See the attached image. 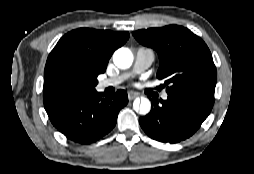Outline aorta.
I'll return each mask as SVG.
<instances>
[{"mask_svg": "<svg viewBox=\"0 0 254 174\" xmlns=\"http://www.w3.org/2000/svg\"><path fill=\"white\" fill-rule=\"evenodd\" d=\"M113 61L118 68L127 69L133 63V54L128 48L122 47L115 51ZM134 109L146 115L151 110V102L148 98L142 97L140 100H135Z\"/></svg>", "mask_w": 254, "mask_h": 174, "instance_id": "762f6f07", "label": "aorta"}]
</instances>
